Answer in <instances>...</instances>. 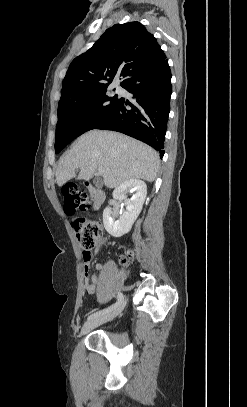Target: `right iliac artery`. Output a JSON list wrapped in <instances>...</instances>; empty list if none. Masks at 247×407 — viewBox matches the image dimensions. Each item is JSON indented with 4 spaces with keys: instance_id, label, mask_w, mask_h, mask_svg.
<instances>
[{
    "instance_id": "82829eb1",
    "label": "right iliac artery",
    "mask_w": 247,
    "mask_h": 407,
    "mask_svg": "<svg viewBox=\"0 0 247 407\" xmlns=\"http://www.w3.org/2000/svg\"><path fill=\"white\" fill-rule=\"evenodd\" d=\"M123 300H124V295H123L121 292H118L116 303H114L113 305L109 306V307L106 308V309H103V310H100V311H97V312L91 314V315L88 317V320L98 318V317H100L101 315H104V314H107V313L113 311V310L116 309L120 304H122Z\"/></svg>"
}]
</instances>
